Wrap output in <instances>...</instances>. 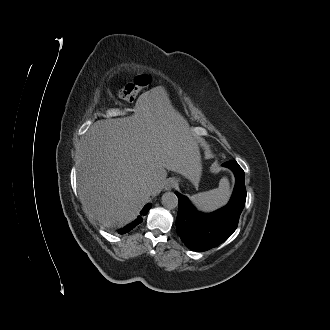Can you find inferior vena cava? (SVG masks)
<instances>
[{
    "mask_svg": "<svg viewBox=\"0 0 330 330\" xmlns=\"http://www.w3.org/2000/svg\"><path fill=\"white\" fill-rule=\"evenodd\" d=\"M155 187H156V182L155 181L149 180L147 182V189H148L149 192L153 193Z\"/></svg>",
    "mask_w": 330,
    "mask_h": 330,
    "instance_id": "602c4592",
    "label": "inferior vena cava"
}]
</instances>
